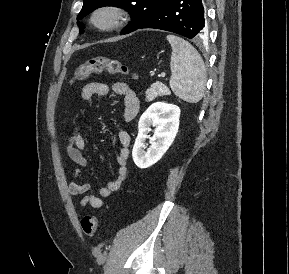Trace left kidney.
I'll return each mask as SVG.
<instances>
[{
  "label": "left kidney",
  "instance_id": "left-kidney-1",
  "mask_svg": "<svg viewBox=\"0 0 289 274\" xmlns=\"http://www.w3.org/2000/svg\"><path fill=\"white\" fill-rule=\"evenodd\" d=\"M180 108L164 102L153 103L140 117L138 136L132 151L134 163L148 168L158 162L173 143L179 128ZM156 127L152 138L148 133ZM152 140L145 151V140Z\"/></svg>",
  "mask_w": 289,
  "mask_h": 274
}]
</instances>
